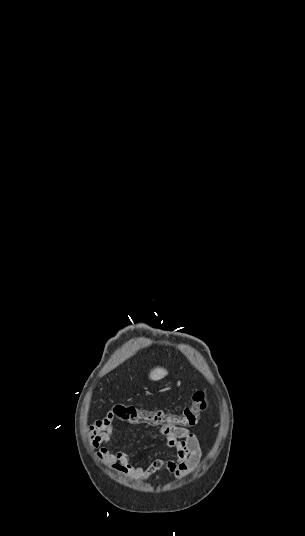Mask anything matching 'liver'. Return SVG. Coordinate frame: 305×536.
I'll return each instance as SVG.
<instances>
[{
    "label": "liver",
    "mask_w": 305,
    "mask_h": 536,
    "mask_svg": "<svg viewBox=\"0 0 305 536\" xmlns=\"http://www.w3.org/2000/svg\"><path fill=\"white\" fill-rule=\"evenodd\" d=\"M168 372L167 370H164V368H155V370H152L149 374L150 380H153V382H157V380H162V378H165L167 376Z\"/></svg>",
    "instance_id": "1"
}]
</instances>
